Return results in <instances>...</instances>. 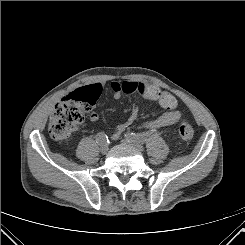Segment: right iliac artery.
<instances>
[{
	"instance_id": "right-iliac-artery-1",
	"label": "right iliac artery",
	"mask_w": 245,
	"mask_h": 245,
	"mask_svg": "<svg viewBox=\"0 0 245 245\" xmlns=\"http://www.w3.org/2000/svg\"><path fill=\"white\" fill-rule=\"evenodd\" d=\"M96 142L99 144V145H105L109 142L108 140V137L105 133L103 132H100L96 135Z\"/></svg>"
}]
</instances>
